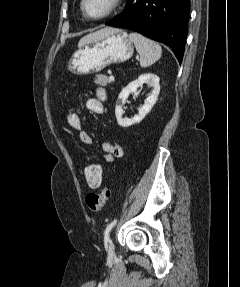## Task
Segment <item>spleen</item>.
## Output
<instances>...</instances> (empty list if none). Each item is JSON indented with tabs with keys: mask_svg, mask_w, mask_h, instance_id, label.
<instances>
[{
	"mask_svg": "<svg viewBox=\"0 0 240 287\" xmlns=\"http://www.w3.org/2000/svg\"><path fill=\"white\" fill-rule=\"evenodd\" d=\"M129 39L134 43L136 50L140 55L141 67H149L161 57L162 48L155 41L136 32L130 33Z\"/></svg>",
	"mask_w": 240,
	"mask_h": 287,
	"instance_id": "obj_1",
	"label": "spleen"
}]
</instances>
